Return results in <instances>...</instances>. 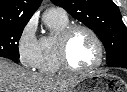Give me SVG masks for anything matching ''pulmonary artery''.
Instances as JSON below:
<instances>
[{
    "label": "pulmonary artery",
    "mask_w": 127,
    "mask_h": 92,
    "mask_svg": "<svg viewBox=\"0 0 127 92\" xmlns=\"http://www.w3.org/2000/svg\"><path fill=\"white\" fill-rule=\"evenodd\" d=\"M47 12L58 13V14L63 15V16L66 15L65 12L60 8H50V9H48Z\"/></svg>",
    "instance_id": "obj_1"
}]
</instances>
